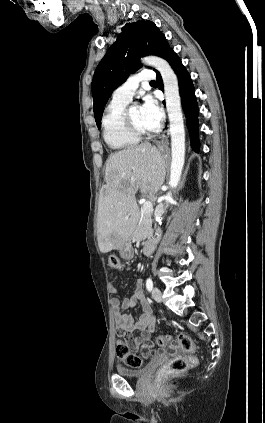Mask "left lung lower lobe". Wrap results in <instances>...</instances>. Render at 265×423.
<instances>
[{
	"label": "left lung lower lobe",
	"mask_w": 265,
	"mask_h": 423,
	"mask_svg": "<svg viewBox=\"0 0 265 423\" xmlns=\"http://www.w3.org/2000/svg\"><path fill=\"white\" fill-rule=\"evenodd\" d=\"M164 59H166L170 63L171 67L173 68L178 77L179 92L181 96L183 110L187 117V127L190 132L191 146L193 150L198 152V106L191 77L187 72L186 68L183 66L177 54L171 48H168L167 52L164 55ZM156 72L159 89L163 90V82L161 75L158 71Z\"/></svg>",
	"instance_id": "left-lung-lower-lobe-1"
}]
</instances>
